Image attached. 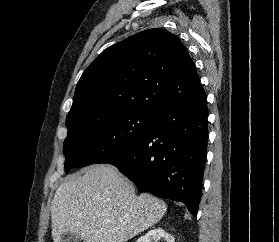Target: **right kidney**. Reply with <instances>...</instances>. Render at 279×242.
Returning <instances> with one entry per match:
<instances>
[{
    "instance_id": "1",
    "label": "right kidney",
    "mask_w": 279,
    "mask_h": 242,
    "mask_svg": "<svg viewBox=\"0 0 279 242\" xmlns=\"http://www.w3.org/2000/svg\"><path fill=\"white\" fill-rule=\"evenodd\" d=\"M160 239H164L166 242H175L174 237L171 234L165 232L161 227H157L148 231L136 242H158Z\"/></svg>"
}]
</instances>
